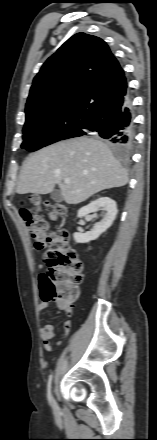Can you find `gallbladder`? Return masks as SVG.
<instances>
[{
    "mask_svg": "<svg viewBox=\"0 0 157 440\" xmlns=\"http://www.w3.org/2000/svg\"><path fill=\"white\" fill-rule=\"evenodd\" d=\"M51 198L56 202H61L63 200V197H62L60 190H54L51 193Z\"/></svg>",
    "mask_w": 157,
    "mask_h": 440,
    "instance_id": "gallbladder-1",
    "label": "gallbladder"
}]
</instances>
